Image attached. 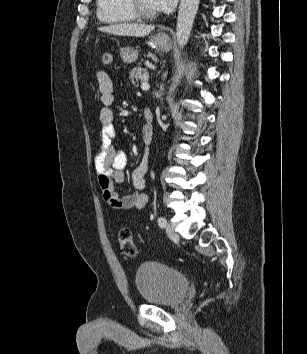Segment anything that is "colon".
<instances>
[{
    "mask_svg": "<svg viewBox=\"0 0 307 354\" xmlns=\"http://www.w3.org/2000/svg\"><path fill=\"white\" fill-rule=\"evenodd\" d=\"M101 61L104 65H109L113 61V54L111 52L103 53ZM118 243L121 252L128 256L134 257L137 253V249L133 240L132 232L129 228H122L118 233Z\"/></svg>",
    "mask_w": 307,
    "mask_h": 354,
    "instance_id": "5ec220e1",
    "label": "colon"
}]
</instances>
